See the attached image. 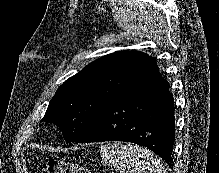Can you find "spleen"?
Here are the masks:
<instances>
[{
  "label": "spleen",
  "mask_w": 219,
  "mask_h": 173,
  "mask_svg": "<svg viewBox=\"0 0 219 173\" xmlns=\"http://www.w3.org/2000/svg\"><path fill=\"white\" fill-rule=\"evenodd\" d=\"M102 159L120 173H167L161 159L146 148L127 143H107L100 147Z\"/></svg>",
  "instance_id": "obj_1"
}]
</instances>
